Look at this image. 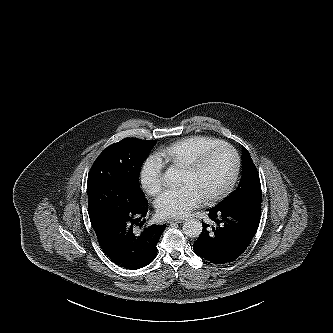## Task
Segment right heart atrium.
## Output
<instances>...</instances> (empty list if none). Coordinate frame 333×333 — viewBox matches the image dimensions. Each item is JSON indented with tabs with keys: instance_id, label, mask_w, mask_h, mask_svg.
I'll return each mask as SVG.
<instances>
[{
	"instance_id": "d8ad5b80",
	"label": "right heart atrium",
	"mask_w": 333,
	"mask_h": 333,
	"mask_svg": "<svg viewBox=\"0 0 333 333\" xmlns=\"http://www.w3.org/2000/svg\"><path fill=\"white\" fill-rule=\"evenodd\" d=\"M164 160L157 153L149 155L142 163L139 181L142 189L149 195L158 194L163 188Z\"/></svg>"
}]
</instances>
